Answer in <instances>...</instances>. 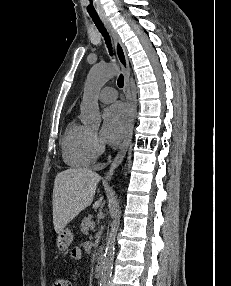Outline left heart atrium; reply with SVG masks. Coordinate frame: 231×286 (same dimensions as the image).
<instances>
[{
    "label": "left heart atrium",
    "mask_w": 231,
    "mask_h": 286,
    "mask_svg": "<svg viewBox=\"0 0 231 286\" xmlns=\"http://www.w3.org/2000/svg\"><path fill=\"white\" fill-rule=\"evenodd\" d=\"M129 114L124 105L115 103L103 112L102 139L110 144L119 142L126 134Z\"/></svg>",
    "instance_id": "39dd6f15"
}]
</instances>
